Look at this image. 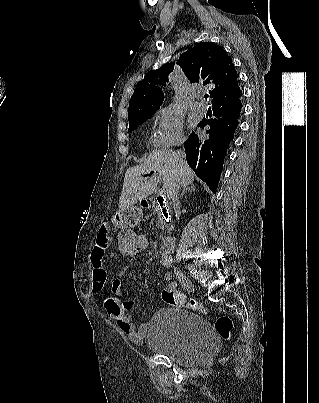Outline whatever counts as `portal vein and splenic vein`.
Listing matches in <instances>:
<instances>
[{
    "mask_svg": "<svg viewBox=\"0 0 319 403\" xmlns=\"http://www.w3.org/2000/svg\"><path fill=\"white\" fill-rule=\"evenodd\" d=\"M158 180H159V178H158ZM164 192H165L164 190L161 191L162 194H163Z\"/></svg>",
    "mask_w": 319,
    "mask_h": 403,
    "instance_id": "18ae733b",
    "label": "portal vein and splenic vein"
}]
</instances>
